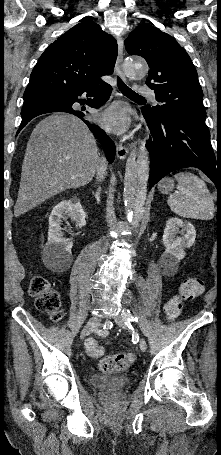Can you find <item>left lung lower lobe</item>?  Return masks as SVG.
<instances>
[{
    "label": "left lung lower lobe",
    "mask_w": 221,
    "mask_h": 455,
    "mask_svg": "<svg viewBox=\"0 0 221 455\" xmlns=\"http://www.w3.org/2000/svg\"><path fill=\"white\" fill-rule=\"evenodd\" d=\"M142 113L152 133L147 142L150 188L174 170L197 167L221 190V158L214 155L204 121L177 115L156 117L144 110Z\"/></svg>",
    "instance_id": "1"
}]
</instances>
